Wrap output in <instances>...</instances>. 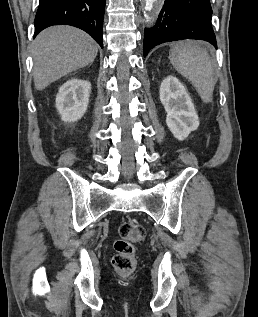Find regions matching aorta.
<instances>
[{"label": "aorta", "mask_w": 258, "mask_h": 317, "mask_svg": "<svg viewBox=\"0 0 258 317\" xmlns=\"http://www.w3.org/2000/svg\"><path fill=\"white\" fill-rule=\"evenodd\" d=\"M157 0H145L146 2V9L147 10H151L153 8V5L154 3L156 2Z\"/></svg>", "instance_id": "aorta-1"}]
</instances>
